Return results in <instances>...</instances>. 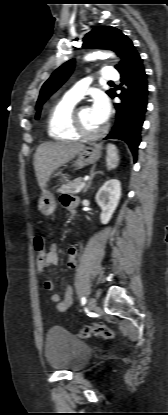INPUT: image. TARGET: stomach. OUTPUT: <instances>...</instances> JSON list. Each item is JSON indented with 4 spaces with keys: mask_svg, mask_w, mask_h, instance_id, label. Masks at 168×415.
Wrapping results in <instances>:
<instances>
[{
    "mask_svg": "<svg viewBox=\"0 0 168 415\" xmlns=\"http://www.w3.org/2000/svg\"><path fill=\"white\" fill-rule=\"evenodd\" d=\"M101 157V149L97 146H84L78 153L77 159L74 161L73 166L77 168H83L84 166L94 164ZM57 173L56 175H58ZM56 208V202L53 194L43 189L41 197L38 202L39 211L45 215L50 216L53 214Z\"/></svg>",
    "mask_w": 168,
    "mask_h": 415,
    "instance_id": "stomach-1",
    "label": "stomach"
}]
</instances>
